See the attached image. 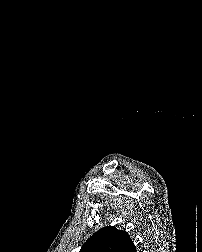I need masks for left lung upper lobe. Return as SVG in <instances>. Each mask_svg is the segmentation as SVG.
Returning a JSON list of instances; mask_svg holds the SVG:
<instances>
[{
  "mask_svg": "<svg viewBox=\"0 0 202 252\" xmlns=\"http://www.w3.org/2000/svg\"><path fill=\"white\" fill-rule=\"evenodd\" d=\"M80 252H136L127 232L108 226L94 233Z\"/></svg>",
  "mask_w": 202,
  "mask_h": 252,
  "instance_id": "5c2ea615",
  "label": "left lung upper lobe"
}]
</instances>
